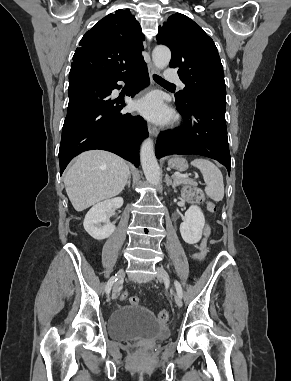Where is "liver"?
I'll return each instance as SVG.
<instances>
[{
  "label": "liver",
  "mask_w": 291,
  "mask_h": 381,
  "mask_svg": "<svg viewBox=\"0 0 291 381\" xmlns=\"http://www.w3.org/2000/svg\"><path fill=\"white\" fill-rule=\"evenodd\" d=\"M130 171L125 160L107 151L80 154L64 176L67 195L78 212L124 189Z\"/></svg>",
  "instance_id": "6515ba94"
}]
</instances>
